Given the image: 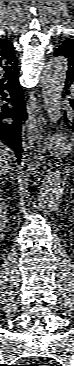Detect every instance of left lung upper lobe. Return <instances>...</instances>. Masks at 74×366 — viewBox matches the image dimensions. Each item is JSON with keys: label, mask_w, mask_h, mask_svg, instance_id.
Instances as JSON below:
<instances>
[{"label": "left lung upper lobe", "mask_w": 74, "mask_h": 366, "mask_svg": "<svg viewBox=\"0 0 74 366\" xmlns=\"http://www.w3.org/2000/svg\"><path fill=\"white\" fill-rule=\"evenodd\" d=\"M54 54L65 57L68 61V71L74 73V39L65 40Z\"/></svg>", "instance_id": "left-lung-upper-lobe-1"}]
</instances>
